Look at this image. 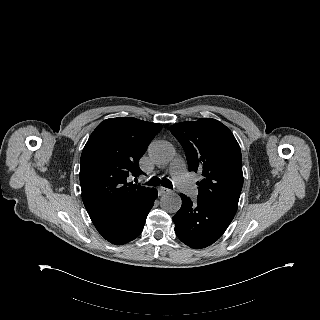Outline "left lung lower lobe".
I'll list each match as a JSON object with an SVG mask.
<instances>
[{
  "mask_svg": "<svg viewBox=\"0 0 320 320\" xmlns=\"http://www.w3.org/2000/svg\"><path fill=\"white\" fill-rule=\"evenodd\" d=\"M182 206L173 217L178 238L194 249L213 244L225 232L234 215L202 199L181 194Z\"/></svg>",
  "mask_w": 320,
  "mask_h": 320,
  "instance_id": "1",
  "label": "left lung lower lobe"
}]
</instances>
